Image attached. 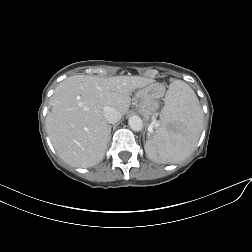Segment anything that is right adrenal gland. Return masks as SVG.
Returning <instances> with one entry per match:
<instances>
[{"label":"right adrenal gland","instance_id":"1","mask_svg":"<svg viewBox=\"0 0 252 252\" xmlns=\"http://www.w3.org/2000/svg\"><path fill=\"white\" fill-rule=\"evenodd\" d=\"M111 128H112V126L109 127V131H110L109 134L111 133Z\"/></svg>","mask_w":252,"mask_h":252}]
</instances>
